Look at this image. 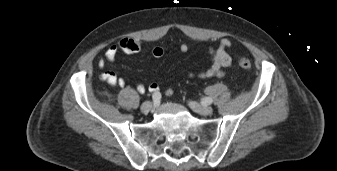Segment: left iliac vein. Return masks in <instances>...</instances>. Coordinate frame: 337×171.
<instances>
[{"mask_svg": "<svg viewBox=\"0 0 337 171\" xmlns=\"http://www.w3.org/2000/svg\"><path fill=\"white\" fill-rule=\"evenodd\" d=\"M189 106L191 107V109L201 115H211L213 112V109L209 106H204V105H200L194 101H190L189 102Z\"/></svg>", "mask_w": 337, "mask_h": 171, "instance_id": "left-iliac-vein-1", "label": "left iliac vein"}]
</instances>
